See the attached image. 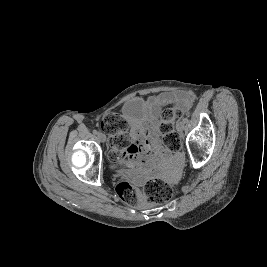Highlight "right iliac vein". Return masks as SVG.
Wrapping results in <instances>:
<instances>
[{
  "mask_svg": "<svg viewBox=\"0 0 267 267\" xmlns=\"http://www.w3.org/2000/svg\"><path fill=\"white\" fill-rule=\"evenodd\" d=\"M98 138L100 139L101 142H105L106 140V136L103 133H99Z\"/></svg>",
  "mask_w": 267,
  "mask_h": 267,
  "instance_id": "obj_1",
  "label": "right iliac vein"
}]
</instances>
